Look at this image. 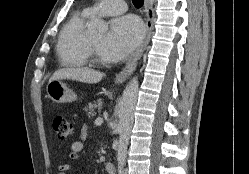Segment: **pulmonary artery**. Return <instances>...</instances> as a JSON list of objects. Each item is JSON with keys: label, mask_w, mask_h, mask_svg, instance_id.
Returning <instances> with one entry per match:
<instances>
[{"label": "pulmonary artery", "mask_w": 249, "mask_h": 174, "mask_svg": "<svg viewBox=\"0 0 249 174\" xmlns=\"http://www.w3.org/2000/svg\"><path fill=\"white\" fill-rule=\"evenodd\" d=\"M127 5L124 0H101L97 4L88 7L85 11L89 15H117L125 12Z\"/></svg>", "instance_id": "pulmonary-artery-1"}]
</instances>
